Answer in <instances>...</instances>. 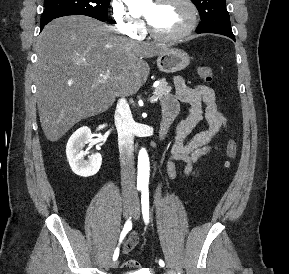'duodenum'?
Masks as SVG:
<instances>
[{"label":"duodenum","instance_id":"410a0bca","mask_svg":"<svg viewBox=\"0 0 289 274\" xmlns=\"http://www.w3.org/2000/svg\"><path fill=\"white\" fill-rule=\"evenodd\" d=\"M175 116H176V112L165 113L162 115V120L160 123V130H159L160 139H163L166 136L169 130V127L172 124Z\"/></svg>","mask_w":289,"mask_h":274}]
</instances>
